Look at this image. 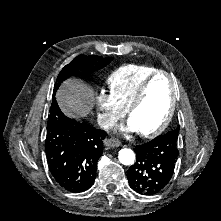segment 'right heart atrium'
I'll return each mask as SVG.
<instances>
[{
	"label": "right heart atrium",
	"mask_w": 221,
	"mask_h": 221,
	"mask_svg": "<svg viewBox=\"0 0 221 221\" xmlns=\"http://www.w3.org/2000/svg\"><path fill=\"white\" fill-rule=\"evenodd\" d=\"M98 122L103 128L112 126L122 113V108L111 93L101 91L96 97Z\"/></svg>",
	"instance_id": "1"
}]
</instances>
